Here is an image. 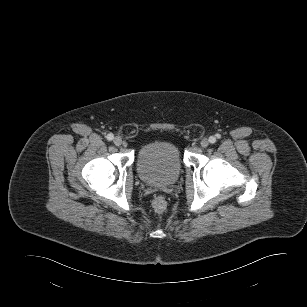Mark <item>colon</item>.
Masks as SVG:
<instances>
[{
  "label": "colon",
  "instance_id": "colon-1",
  "mask_svg": "<svg viewBox=\"0 0 307 307\" xmlns=\"http://www.w3.org/2000/svg\"><path fill=\"white\" fill-rule=\"evenodd\" d=\"M154 211L161 213L166 209V200L162 196H157L152 202Z\"/></svg>",
  "mask_w": 307,
  "mask_h": 307
}]
</instances>
